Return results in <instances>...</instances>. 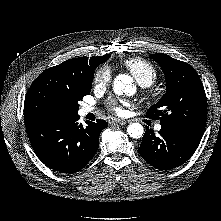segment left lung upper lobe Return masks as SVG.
<instances>
[{"instance_id":"1","label":"left lung upper lobe","mask_w":221,"mask_h":221,"mask_svg":"<svg viewBox=\"0 0 221 221\" xmlns=\"http://www.w3.org/2000/svg\"><path fill=\"white\" fill-rule=\"evenodd\" d=\"M166 77V93L149 108L146 117L159 119L161 127L202 136L207 121V100L197 72L166 54H151Z\"/></svg>"}]
</instances>
